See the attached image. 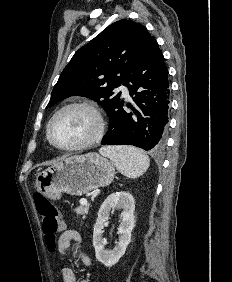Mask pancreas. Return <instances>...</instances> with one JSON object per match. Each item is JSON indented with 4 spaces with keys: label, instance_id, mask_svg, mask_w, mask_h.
Segmentation results:
<instances>
[{
    "label": "pancreas",
    "instance_id": "obj_1",
    "mask_svg": "<svg viewBox=\"0 0 232 282\" xmlns=\"http://www.w3.org/2000/svg\"><path fill=\"white\" fill-rule=\"evenodd\" d=\"M88 211H89V205H85V206L81 205L75 209L76 214L81 215L83 219L86 218Z\"/></svg>",
    "mask_w": 232,
    "mask_h": 282
}]
</instances>
